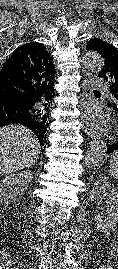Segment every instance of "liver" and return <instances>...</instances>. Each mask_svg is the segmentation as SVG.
Here are the masks:
<instances>
[{"mask_svg": "<svg viewBox=\"0 0 118 269\" xmlns=\"http://www.w3.org/2000/svg\"><path fill=\"white\" fill-rule=\"evenodd\" d=\"M36 135L22 125L0 128V176L34 165L40 154Z\"/></svg>", "mask_w": 118, "mask_h": 269, "instance_id": "obj_1", "label": "liver"}]
</instances>
